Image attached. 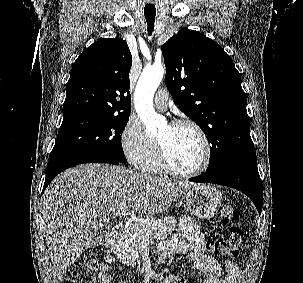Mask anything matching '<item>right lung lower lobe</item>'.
I'll use <instances>...</instances> for the list:
<instances>
[{
    "label": "right lung lower lobe",
    "mask_w": 303,
    "mask_h": 283,
    "mask_svg": "<svg viewBox=\"0 0 303 283\" xmlns=\"http://www.w3.org/2000/svg\"><path fill=\"white\" fill-rule=\"evenodd\" d=\"M109 163L118 165L122 162L101 156H74V157H63L55 160L48 161L47 169H46V178L43 186V191L49 185V183L53 180V178L62 172L63 170L70 168L72 166L83 164V163Z\"/></svg>",
    "instance_id": "98d812e1"
}]
</instances>
